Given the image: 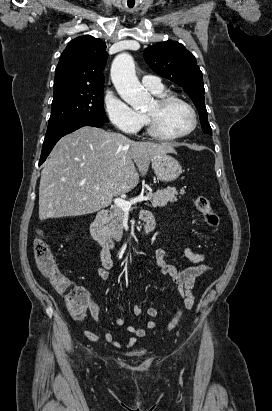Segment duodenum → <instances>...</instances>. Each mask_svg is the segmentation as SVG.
<instances>
[{
  "instance_id": "duodenum-1",
  "label": "duodenum",
  "mask_w": 272,
  "mask_h": 411,
  "mask_svg": "<svg viewBox=\"0 0 272 411\" xmlns=\"http://www.w3.org/2000/svg\"><path fill=\"white\" fill-rule=\"evenodd\" d=\"M107 215V210H101L92 220L90 224V232L103 249L110 251L114 247V240L104 227V222L107 218ZM154 227L155 221L150 215L145 220L144 231L146 233H149L154 229Z\"/></svg>"
}]
</instances>
